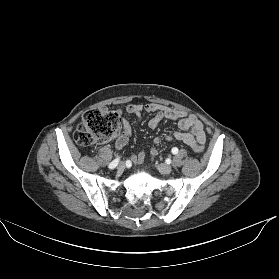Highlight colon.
<instances>
[{"instance_id": "colon-1", "label": "colon", "mask_w": 279, "mask_h": 279, "mask_svg": "<svg viewBox=\"0 0 279 279\" xmlns=\"http://www.w3.org/2000/svg\"><path fill=\"white\" fill-rule=\"evenodd\" d=\"M122 131V119L119 112L109 109H91L81 118L75 132L76 142L83 147L110 141ZM192 149L197 153L204 152L203 145H194Z\"/></svg>"}]
</instances>
